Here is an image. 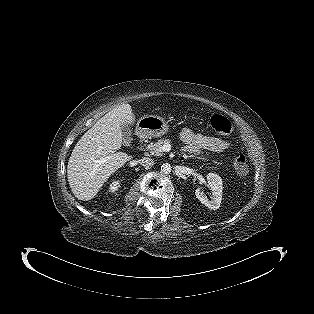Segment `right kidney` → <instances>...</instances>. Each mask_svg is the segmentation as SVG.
<instances>
[{
    "instance_id": "ca27d5eb",
    "label": "right kidney",
    "mask_w": 314,
    "mask_h": 314,
    "mask_svg": "<svg viewBox=\"0 0 314 314\" xmlns=\"http://www.w3.org/2000/svg\"><path fill=\"white\" fill-rule=\"evenodd\" d=\"M119 184H120L119 181H114V182H112V183L110 184L109 191H111V192L117 191V190H118V187L120 186Z\"/></svg>"
}]
</instances>
